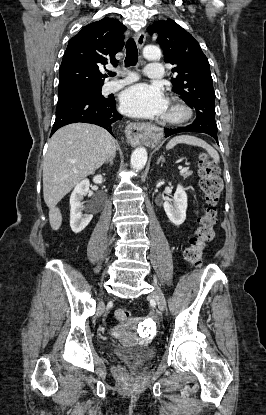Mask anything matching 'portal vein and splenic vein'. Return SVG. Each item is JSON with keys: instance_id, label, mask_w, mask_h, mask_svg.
I'll list each match as a JSON object with an SVG mask.
<instances>
[{"instance_id": "1", "label": "portal vein and splenic vein", "mask_w": 266, "mask_h": 415, "mask_svg": "<svg viewBox=\"0 0 266 415\" xmlns=\"http://www.w3.org/2000/svg\"><path fill=\"white\" fill-rule=\"evenodd\" d=\"M188 170V168L187 167H181V169H180V173H184V172H186Z\"/></svg>"}]
</instances>
